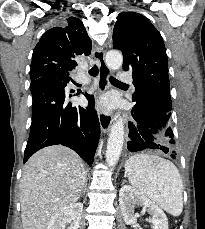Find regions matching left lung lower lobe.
Instances as JSON below:
<instances>
[{"instance_id": "obj_1", "label": "left lung lower lobe", "mask_w": 205, "mask_h": 229, "mask_svg": "<svg viewBox=\"0 0 205 229\" xmlns=\"http://www.w3.org/2000/svg\"><path fill=\"white\" fill-rule=\"evenodd\" d=\"M158 103L133 107L131 114L134 122H129L128 150L141 151L146 148L160 149L164 153H175L172 149L173 132L169 119L171 112L165 109H156ZM172 158L175 156L172 154Z\"/></svg>"}]
</instances>
